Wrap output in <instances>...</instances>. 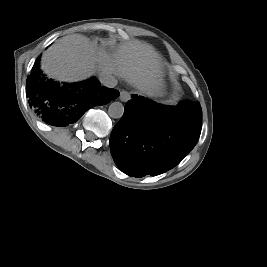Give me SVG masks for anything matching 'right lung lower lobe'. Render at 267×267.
Wrapping results in <instances>:
<instances>
[{
  "instance_id": "98d812e1",
  "label": "right lung lower lobe",
  "mask_w": 267,
  "mask_h": 267,
  "mask_svg": "<svg viewBox=\"0 0 267 267\" xmlns=\"http://www.w3.org/2000/svg\"><path fill=\"white\" fill-rule=\"evenodd\" d=\"M38 60L27 77L26 94L31 109L49 125L67 126L78 121L88 109L107 104L119 96L117 90L99 86L96 78L63 84L46 79Z\"/></svg>"
}]
</instances>
